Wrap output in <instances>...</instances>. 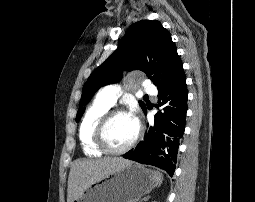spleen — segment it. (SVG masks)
I'll use <instances>...</instances> for the list:
<instances>
[{
    "instance_id": "obj_1",
    "label": "spleen",
    "mask_w": 255,
    "mask_h": 202,
    "mask_svg": "<svg viewBox=\"0 0 255 202\" xmlns=\"http://www.w3.org/2000/svg\"><path fill=\"white\" fill-rule=\"evenodd\" d=\"M153 174L155 177L156 186H160L163 181V175L159 171H154Z\"/></svg>"
}]
</instances>
